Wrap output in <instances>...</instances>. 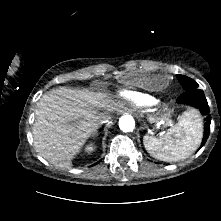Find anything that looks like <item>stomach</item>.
Returning <instances> with one entry per match:
<instances>
[{"mask_svg":"<svg viewBox=\"0 0 221 221\" xmlns=\"http://www.w3.org/2000/svg\"><path fill=\"white\" fill-rule=\"evenodd\" d=\"M126 87H142L146 90L161 91L169 84L167 73L161 68H154L148 72H126L121 77Z\"/></svg>","mask_w":221,"mask_h":221,"instance_id":"0dacf381","label":"stomach"}]
</instances>
